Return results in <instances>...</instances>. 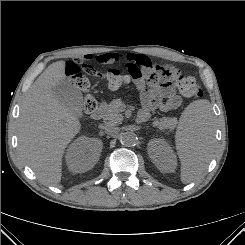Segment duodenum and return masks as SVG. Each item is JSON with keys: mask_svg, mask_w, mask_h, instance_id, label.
I'll use <instances>...</instances> for the list:
<instances>
[{"mask_svg": "<svg viewBox=\"0 0 245 245\" xmlns=\"http://www.w3.org/2000/svg\"><path fill=\"white\" fill-rule=\"evenodd\" d=\"M103 111H104V104L103 103L98 104L92 112L91 115L92 118L95 120H99L103 115Z\"/></svg>", "mask_w": 245, "mask_h": 245, "instance_id": "duodenum-1", "label": "duodenum"}]
</instances>
